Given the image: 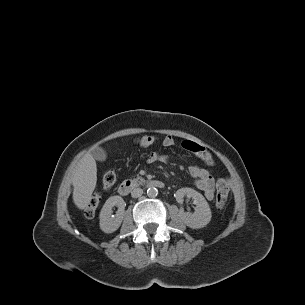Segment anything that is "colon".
<instances>
[{"instance_id":"5ec220e1","label":"colon","mask_w":305,"mask_h":305,"mask_svg":"<svg viewBox=\"0 0 305 305\" xmlns=\"http://www.w3.org/2000/svg\"><path fill=\"white\" fill-rule=\"evenodd\" d=\"M155 142L153 135H144L135 140V144L141 148H147ZM117 176L113 170L107 171L102 178V185L104 189L111 188L116 182ZM229 194V182L225 178H221L217 182V194H216V206L219 209L226 207L228 203ZM101 197L98 193H95L85 208V214L87 217L92 218L95 216L98 206L100 204Z\"/></svg>"}]
</instances>
